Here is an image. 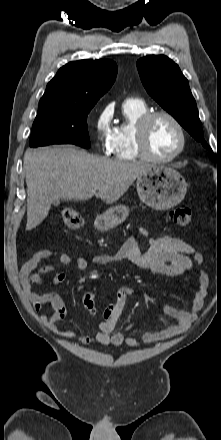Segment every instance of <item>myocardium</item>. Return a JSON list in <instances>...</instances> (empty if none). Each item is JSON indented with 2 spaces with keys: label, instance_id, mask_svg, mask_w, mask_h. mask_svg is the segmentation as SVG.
<instances>
[{
  "label": "myocardium",
  "instance_id": "1",
  "mask_svg": "<svg viewBox=\"0 0 221 440\" xmlns=\"http://www.w3.org/2000/svg\"><path fill=\"white\" fill-rule=\"evenodd\" d=\"M158 117L169 119L179 133L180 143L177 150L169 157H158L154 155L148 145V131L152 121ZM136 144L141 157L156 163H169L178 158L186 148V132L181 122L170 112L165 110L149 111L143 115L136 124Z\"/></svg>",
  "mask_w": 221,
  "mask_h": 440
}]
</instances>
